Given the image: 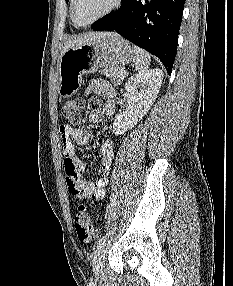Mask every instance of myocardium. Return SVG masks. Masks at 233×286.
I'll return each mask as SVG.
<instances>
[{
	"label": "myocardium",
	"mask_w": 233,
	"mask_h": 286,
	"mask_svg": "<svg viewBox=\"0 0 233 286\" xmlns=\"http://www.w3.org/2000/svg\"><path fill=\"white\" fill-rule=\"evenodd\" d=\"M123 0H114L112 6L107 9L104 13H102L101 15H99L98 17H96L95 19L86 22V23H80L77 21L76 17H75V6H76V2L77 0H71V5H70V17L72 22L78 26V27H88L93 25L94 23L100 21L101 19L105 18L106 16L110 15L112 12H114L115 10H117L121 4H122Z\"/></svg>",
	"instance_id": "obj_1"
}]
</instances>
